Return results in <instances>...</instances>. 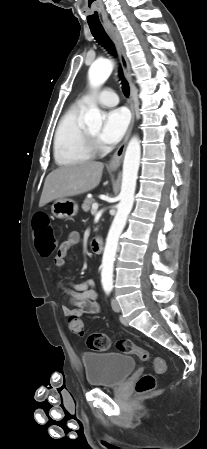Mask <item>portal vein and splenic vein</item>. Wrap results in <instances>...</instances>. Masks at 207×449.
I'll list each match as a JSON object with an SVG mask.
<instances>
[{"label": "portal vein and splenic vein", "instance_id": "obj_1", "mask_svg": "<svg viewBox=\"0 0 207 449\" xmlns=\"http://www.w3.org/2000/svg\"><path fill=\"white\" fill-rule=\"evenodd\" d=\"M98 209V203H93L92 204V211H97Z\"/></svg>", "mask_w": 207, "mask_h": 449}]
</instances>
